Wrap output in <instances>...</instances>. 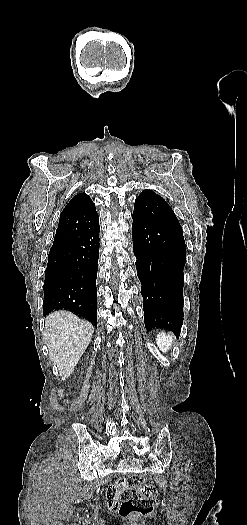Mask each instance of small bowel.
<instances>
[{"label":"small bowel","instance_id":"obj_1","mask_svg":"<svg viewBox=\"0 0 247 525\" xmlns=\"http://www.w3.org/2000/svg\"><path fill=\"white\" fill-rule=\"evenodd\" d=\"M122 486V483L118 479H114L111 481L109 488L106 491V497L105 500L107 502V505L109 506V511L111 513H116L118 511V501H117V495Z\"/></svg>","mask_w":247,"mask_h":525}]
</instances>
